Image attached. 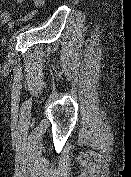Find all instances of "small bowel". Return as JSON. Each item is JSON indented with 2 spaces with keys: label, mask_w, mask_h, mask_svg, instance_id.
Masks as SVG:
<instances>
[{
  "label": "small bowel",
  "mask_w": 131,
  "mask_h": 177,
  "mask_svg": "<svg viewBox=\"0 0 131 177\" xmlns=\"http://www.w3.org/2000/svg\"><path fill=\"white\" fill-rule=\"evenodd\" d=\"M38 1L39 0H32L34 10L25 13L21 17L23 20L31 19L32 17L35 16L37 10L42 6V4H40ZM15 2L19 5H22L25 2V0H15ZM0 23L1 24H6V25H8L9 28H12L13 27L12 13L10 11H7V10L2 11L0 13Z\"/></svg>",
  "instance_id": "1"
}]
</instances>
